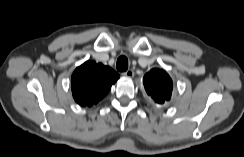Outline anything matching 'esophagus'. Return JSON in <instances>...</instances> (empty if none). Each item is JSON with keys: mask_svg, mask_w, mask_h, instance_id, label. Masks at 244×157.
<instances>
[{"mask_svg": "<svg viewBox=\"0 0 244 157\" xmlns=\"http://www.w3.org/2000/svg\"><path fill=\"white\" fill-rule=\"evenodd\" d=\"M122 75L124 77H127V78H133L134 77V71L132 69H129V70L123 72Z\"/></svg>", "mask_w": 244, "mask_h": 157, "instance_id": "obj_1", "label": "esophagus"}]
</instances>
